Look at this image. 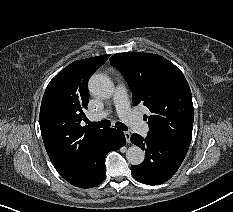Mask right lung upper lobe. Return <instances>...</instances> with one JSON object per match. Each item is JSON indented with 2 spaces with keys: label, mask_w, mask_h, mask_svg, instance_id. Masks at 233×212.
I'll use <instances>...</instances> for the list:
<instances>
[{
  "label": "right lung upper lobe",
  "mask_w": 233,
  "mask_h": 212,
  "mask_svg": "<svg viewBox=\"0 0 233 212\" xmlns=\"http://www.w3.org/2000/svg\"><path fill=\"white\" fill-rule=\"evenodd\" d=\"M110 55L75 61L48 84L40 109V129L58 173L69 178L82 170L105 129L82 127L89 92L87 82Z\"/></svg>",
  "instance_id": "cb5924a9"
}]
</instances>
